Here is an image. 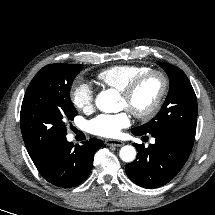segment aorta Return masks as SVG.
<instances>
[{
  "label": "aorta",
  "mask_w": 215,
  "mask_h": 215,
  "mask_svg": "<svg viewBox=\"0 0 215 215\" xmlns=\"http://www.w3.org/2000/svg\"><path fill=\"white\" fill-rule=\"evenodd\" d=\"M119 93L114 89L102 91L96 98L97 108L105 113L117 111V102L119 101ZM136 150L133 146L126 145L120 150V158L124 162H132L135 159Z\"/></svg>",
  "instance_id": "obj_1"
}]
</instances>
